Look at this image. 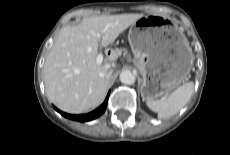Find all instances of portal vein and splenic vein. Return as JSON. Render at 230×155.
<instances>
[{"label":"portal vein and splenic vein","mask_w":230,"mask_h":155,"mask_svg":"<svg viewBox=\"0 0 230 155\" xmlns=\"http://www.w3.org/2000/svg\"><path fill=\"white\" fill-rule=\"evenodd\" d=\"M98 37H101V34H98ZM103 62V54L102 53H99L96 57V63L97 64H102ZM107 67V66H106Z\"/></svg>","instance_id":"1"}]
</instances>
